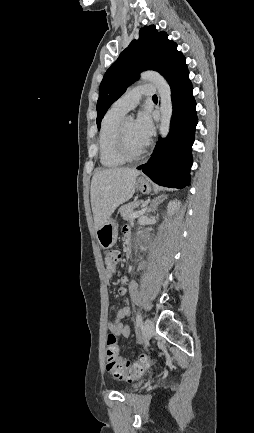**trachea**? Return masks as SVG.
I'll use <instances>...</instances> for the list:
<instances>
[{
    "label": "trachea",
    "mask_w": 254,
    "mask_h": 433,
    "mask_svg": "<svg viewBox=\"0 0 254 433\" xmlns=\"http://www.w3.org/2000/svg\"><path fill=\"white\" fill-rule=\"evenodd\" d=\"M152 98H153V100H157L158 99L156 95H153Z\"/></svg>",
    "instance_id": "trachea-1"
}]
</instances>
